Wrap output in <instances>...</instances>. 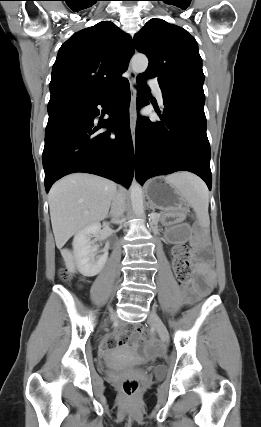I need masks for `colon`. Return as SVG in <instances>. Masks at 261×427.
<instances>
[{
	"label": "colon",
	"instance_id": "obj_1",
	"mask_svg": "<svg viewBox=\"0 0 261 427\" xmlns=\"http://www.w3.org/2000/svg\"><path fill=\"white\" fill-rule=\"evenodd\" d=\"M188 255L189 250L185 245L176 246L172 250L173 268L182 285H186L191 279V272L187 262ZM60 277L63 280H68L71 277L69 269H61ZM136 332L143 343L149 342L150 337L143 327H137ZM138 389L139 381L135 378H128L122 383V391L128 397L134 396Z\"/></svg>",
	"mask_w": 261,
	"mask_h": 427
}]
</instances>
